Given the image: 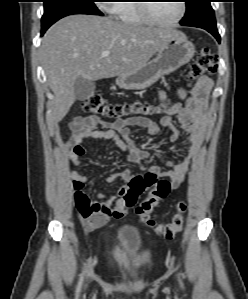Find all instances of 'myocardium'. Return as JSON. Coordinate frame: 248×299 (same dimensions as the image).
<instances>
[{
    "mask_svg": "<svg viewBox=\"0 0 248 299\" xmlns=\"http://www.w3.org/2000/svg\"><path fill=\"white\" fill-rule=\"evenodd\" d=\"M150 2V1H144ZM180 2V13L177 18L171 21H162L158 19L151 11L152 3H142L139 5L140 11L144 15V17L152 24L159 26H174L178 24L184 18L186 14V3L184 0H179Z\"/></svg>",
    "mask_w": 248,
    "mask_h": 299,
    "instance_id": "1",
    "label": "myocardium"
}]
</instances>
